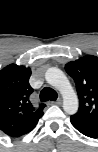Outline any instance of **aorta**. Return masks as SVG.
I'll return each instance as SVG.
<instances>
[{
  "instance_id": "762f6f07",
  "label": "aorta",
  "mask_w": 98,
  "mask_h": 152,
  "mask_svg": "<svg viewBox=\"0 0 98 152\" xmlns=\"http://www.w3.org/2000/svg\"><path fill=\"white\" fill-rule=\"evenodd\" d=\"M45 79L61 93L64 111L70 115L75 114L78 110V98L64 72L55 67L49 68Z\"/></svg>"
}]
</instances>
